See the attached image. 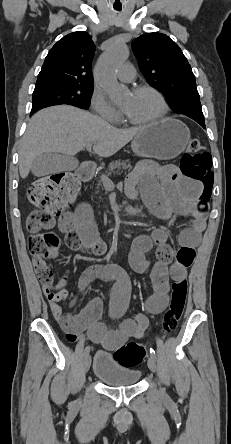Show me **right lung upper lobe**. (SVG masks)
Returning a JSON list of instances; mask_svg holds the SVG:
<instances>
[{
	"label": "right lung upper lobe",
	"mask_w": 231,
	"mask_h": 444,
	"mask_svg": "<svg viewBox=\"0 0 231 444\" xmlns=\"http://www.w3.org/2000/svg\"><path fill=\"white\" fill-rule=\"evenodd\" d=\"M95 45L84 31L70 33L49 51L35 86L46 84L93 85L91 72Z\"/></svg>",
	"instance_id": "right-lung-upper-lobe-1"
}]
</instances>
